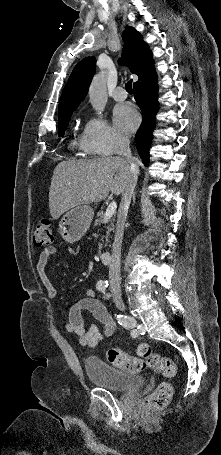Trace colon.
<instances>
[{"label":"colon","mask_w":221,"mask_h":455,"mask_svg":"<svg viewBox=\"0 0 221 455\" xmlns=\"http://www.w3.org/2000/svg\"><path fill=\"white\" fill-rule=\"evenodd\" d=\"M34 244L38 247H49L54 241V232L49 220L39 222L33 234ZM139 357H134L119 348L108 351L107 357L111 364L128 372H140L149 367L166 377H172L176 373L174 362L152 351L148 344L138 346ZM173 389L170 383L163 382L151 394L147 405L154 409L164 408L172 397Z\"/></svg>","instance_id":"obj_1"}]
</instances>
